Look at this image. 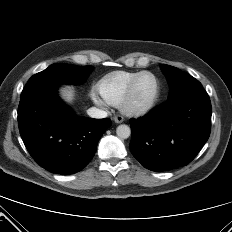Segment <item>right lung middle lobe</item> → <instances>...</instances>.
Returning <instances> with one entry per match:
<instances>
[{
	"label": "right lung middle lobe",
	"mask_w": 232,
	"mask_h": 232,
	"mask_svg": "<svg viewBox=\"0 0 232 232\" xmlns=\"http://www.w3.org/2000/svg\"><path fill=\"white\" fill-rule=\"evenodd\" d=\"M91 70L92 66L78 67L63 63L53 64L32 76L24 87L21 96L45 86L82 83Z\"/></svg>",
	"instance_id": "1"
}]
</instances>
